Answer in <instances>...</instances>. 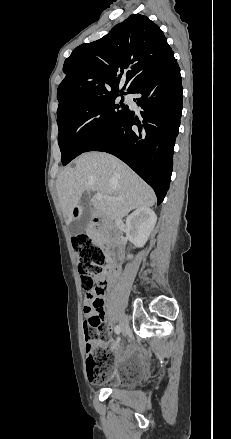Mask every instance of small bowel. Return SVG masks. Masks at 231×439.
Segmentation results:
<instances>
[{"label":"small bowel","instance_id":"obj_1","mask_svg":"<svg viewBox=\"0 0 231 439\" xmlns=\"http://www.w3.org/2000/svg\"><path fill=\"white\" fill-rule=\"evenodd\" d=\"M112 271L114 273H116L118 271V269L113 268ZM95 301H99L102 304L101 309H96L94 307L93 303ZM104 306H105V292H102L100 294H98L96 292H88L86 294L85 309H84V315H85L86 319L84 321V330L92 320H95L97 325L102 326L103 320L105 318ZM114 347H115V344H113V348ZM130 353H131L130 349L124 353V355L122 356V358L120 359V361L118 363V366L123 367V364L126 361V359L129 358Z\"/></svg>","mask_w":231,"mask_h":439}]
</instances>
